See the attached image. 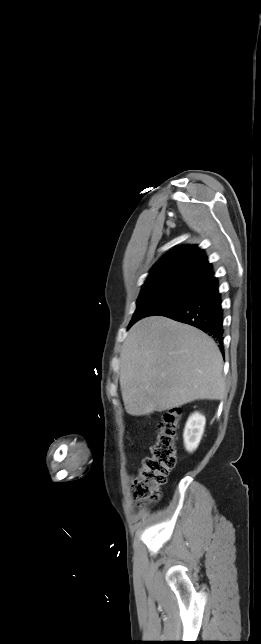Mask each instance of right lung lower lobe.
Segmentation results:
<instances>
[{
	"instance_id": "98d812e1",
	"label": "right lung lower lobe",
	"mask_w": 261,
	"mask_h": 644,
	"mask_svg": "<svg viewBox=\"0 0 261 644\" xmlns=\"http://www.w3.org/2000/svg\"><path fill=\"white\" fill-rule=\"evenodd\" d=\"M161 315L197 327L215 338L223 349V309L214 275L200 283L186 301Z\"/></svg>"
}]
</instances>
